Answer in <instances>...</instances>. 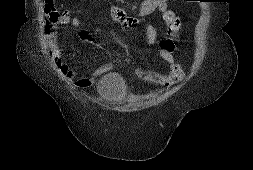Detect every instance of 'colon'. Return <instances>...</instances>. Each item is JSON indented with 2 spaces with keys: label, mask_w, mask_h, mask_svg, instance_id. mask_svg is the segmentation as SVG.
<instances>
[{
  "label": "colon",
  "mask_w": 253,
  "mask_h": 170,
  "mask_svg": "<svg viewBox=\"0 0 253 170\" xmlns=\"http://www.w3.org/2000/svg\"><path fill=\"white\" fill-rule=\"evenodd\" d=\"M48 2L51 4V8H50L49 13H48V15H49V20H48V22H47V27H46V28H47V29H50L51 26H52V24H53L55 21H57V19L60 17L61 14H60V13L57 11V9L55 8L54 0H48ZM173 25H174L175 27L179 26L178 21H177V20L174 21Z\"/></svg>",
  "instance_id": "5ec220e1"
}]
</instances>
